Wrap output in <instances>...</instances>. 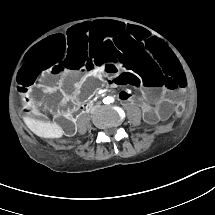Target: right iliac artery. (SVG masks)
I'll return each instance as SVG.
<instances>
[{"label":"right iliac artery","instance_id":"1","mask_svg":"<svg viewBox=\"0 0 215 215\" xmlns=\"http://www.w3.org/2000/svg\"><path fill=\"white\" fill-rule=\"evenodd\" d=\"M103 102L106 104L107 102L105 101V99H103Z\"/></svg>","mask_w":215,"mask_h":215}]
</instances>
